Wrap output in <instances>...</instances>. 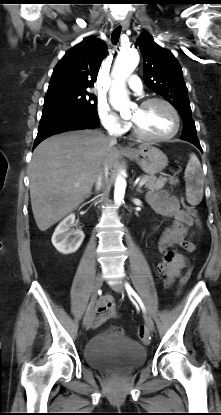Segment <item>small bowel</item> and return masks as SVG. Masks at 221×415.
<instances>
[{
	"label": "small bowel",
	"mask_w": 221,
	"mask_h": 415,
	"mask_svg": "<svg viewBox=\"0 0 221 415\" xmlns=\"http://www.w3.org/2000/svg\"><path fill=\"white\" fill-rule=\"evenodd\" d=\"M147 202L156 212L174 218V223L165 229L159 240L158 248L163 254V260L155 266L156 271L165 275L166 283L170 284L188 264V258L180 253L177 248H181L186 252H192L195 249L194 243L187 239V233L193 224V218L180 208L178 199L167 191L149 193ZM96 311L98 316L93 322L94 327H98L110 318L116 317L117 311L113 297L106 295L101 298L96 306Z\"/></svg>",
	"instance_id": "small-bowel-1"
}]
</instances>
